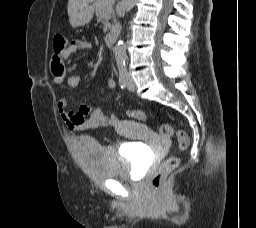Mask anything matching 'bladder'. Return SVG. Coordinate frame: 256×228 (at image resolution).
Returning a JSON list of instances; mask_svg holds the SVG:
<instances>
[{
    "instance_id": "31cf9c89",
    "label": "bladder",
    "mask_w": 256,
    "mask_h": 228,
    "mask_svg": "<svg viewBox=\"0 0 256 228\" xmlns=\"http://www.w3.org/2000/svg\"><path fill=\"white\" fill-rule=\"evenodd\" d=\"M78 151L84 168L101 179H125L140 174L146 163L145 152L136 144H128L122 153L98 141L83 137L78 141Z\"/></svg>"
}]
</instances>
